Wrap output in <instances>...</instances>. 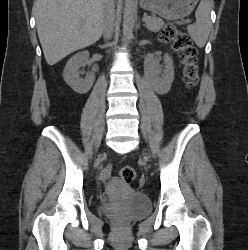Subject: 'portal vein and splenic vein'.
<instances>
[{
  "label": "portal vein and splenic vein",
  "instance_id": "18ae733b",
  "mask_svg": "<svg viewBox=\"0 0 248 250\" xmlns=\"http://www.w3.org/2000/svg\"><path fill=\"white\" fill-rule=\"evenodd\" d=\"M144 22H146L148 20V17L147 16H144V18L142 19ZM189 21H187L188 23Z\"/></svg>",
  "mask_w": 248,
  "mask_h": 250
}]
</instances>
